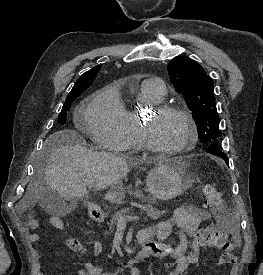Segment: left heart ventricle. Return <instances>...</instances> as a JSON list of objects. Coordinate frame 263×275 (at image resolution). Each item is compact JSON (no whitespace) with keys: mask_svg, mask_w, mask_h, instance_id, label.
<instances>
[{"mask_svg":"<svg viewBox=\"0 0 263 275\" xmlns=\"http://www.w3.org/2000/svg\"><path fill=\"white\" fill-rule=\"evenodd\" d=\"M146 120L153 142L161 148H178L188 136V124L185 119L179 115L150 114Z\"/></svg>","mask_w":263,"mask_h":275,"instance_id":"obj_1","label":"left heart ventricle"}]
</instances>
